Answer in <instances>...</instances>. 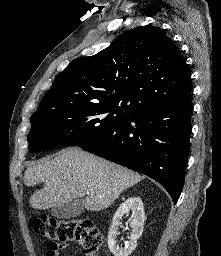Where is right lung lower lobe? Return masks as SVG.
Segmentation results:
<instances>
[{
	"instance_id": "right-lung-lower-lobe-1",
	"label": "right lung lower lobe",
	"mask_w": 221,
	"mask_h": 256,
	"mask_svg": "<svg viewBox=\"0 0 221 256\" xmlns=\"http://www.w3.org/2000/svg\"><path fill=\"white\" fill-rule=\"evenodd\" d=\"M192 95L159 103L78 145L160 182L176 203L189 154Z\"/></svg>"
}]
</instances>
